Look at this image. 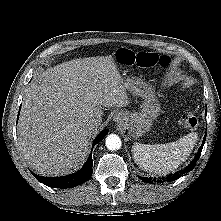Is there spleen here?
I'll list each match as a JSON object with an SVG mask.
<instances>
[{
    "label": "spleen",
    "mask_w": 221,
    "mask_h": 221,
    "mask_svg": "<svg viewBox=\"0 0 221 221\" xmlns=\"http://www.w3.org/2000/svg\"><path fill=\"white\" fill-rule=\"evenodd\" d=\"M196 141L197 134L191 132L175 142L166 144L134 143L132 146L134 161L145 171L156 175H166L187 160Z\"/></svg>",
    "instance_id": "1"
}]
</instances>
